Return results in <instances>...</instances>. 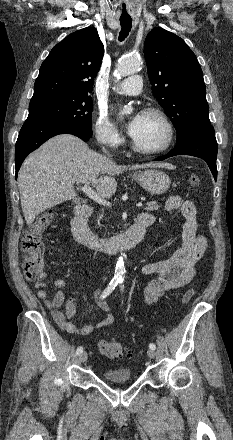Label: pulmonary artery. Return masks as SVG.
<instances>
[{"label": "pulmonary artery", "mask_w": 233, "mask_h": 440, "mask_svg": "<svg viewBox=\"0 0 233 440\" xmlns=\"http://www.w3.org/2000/svg\"><path fill=\"white\" fill-rule=\"evenodd\" d=\"M142 89V77L132 75L123 80L116 88V93L121 95H137Z\"/></svg>", "instance_id": "e3ab8cb5"}]
</instances>
